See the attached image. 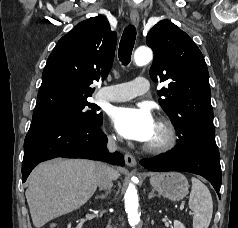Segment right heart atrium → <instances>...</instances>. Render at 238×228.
<instances>
[{
	"label": "right heart atrium",
	"instance_id": "1",
	"mask_svg": "<svg viewBox=\"0 0 238 228\" xmlns=\"http://www.w3.org/2000/svg\"><path fill=\"white\" fill-rule=\"evenodd\" d=\"M108 139L111 143H115L117 141V137L115 134H109Z\"/></svg>",
	"mask_w": 238,
	"mask_h": 228
}]
</instances>
